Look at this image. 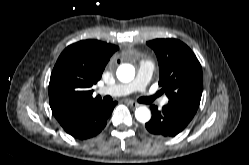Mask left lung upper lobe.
I'll use <instances>...</instances> for the list:
<instances>
[{"mask_svg":"<svg viewBox=\"0 0 249 165\" xmlns=\"http://www.w3.org/2000/svg\"><path fill=\"white\" fill-rule=\"evenodd\" d=\"M159 64V86L168 104L196 113L202 95V68L192 50L177 39L148 41Z\"/></svg>","mask_w":249,"mask_h":165,"instance_id":"5c2ea615","label":"left lung upper lobe"}]
</instances>
